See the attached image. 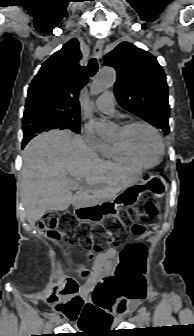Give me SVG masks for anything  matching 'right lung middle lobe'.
Listing matches in <instances>:
<instances>
[{
    "instance_id": "1",
    "label": "right lung middle lobe",
    "mask_w": 194,
    "mask_h": 336,
    "mask_svg": "<svg viewBox=\"0 0 194 336\" xmlns=\"http://www.w3.org/2000/svg\"><path fill=\"white\" fill-rule=\"evenodd\" d=\"M52 129H69L75 133L80 132V120L73 121L70 119L57 118V117H42L29 122V124H23L24 137L34 132H44ZM23 137V138H24Z\"/></svg>"
}]
</instances>
